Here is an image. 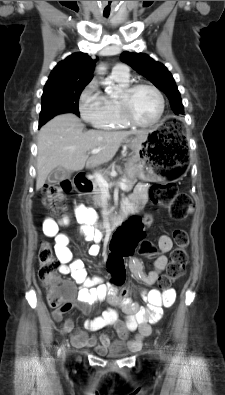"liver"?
<instances>
[{
  "mask_svg": "<svg viewBox=\"0 0 225 395\" xmlns=\"http://www.w3.org/2000/svg\"><path fill=\"white\" fill-rule=\"evenodd\" d=\"M149 130L84 132V124L74 114L54 117L38 133L36 190L45 184L48 175L56 168L66 171H80L85 164L95 167L109 162L121 143L130 135L145 139ZM102 150L88 157L93 149Z\"/></svg>",
  "mask_w": 225,
  "mask_h": 395,
  "instance_id": "6515ba94",
  "label": "liver"
}]
</instances>
